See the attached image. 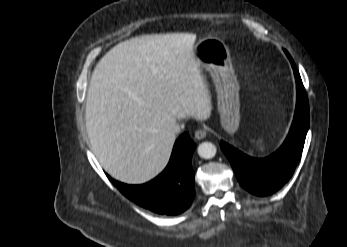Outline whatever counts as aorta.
I'll use <instances>...</instances> for the list:
<instances>
[{"instance_id":"1","label":"aorta","mask_w":347,"mask_h":247,"mask_svg":"<svg viewBox=\"0 0 347 247\" xmlns=\"http://www.w3.org/2000/svg\"><path fill=\"white\" fill-rule=\"evenodd\" d=\"M216 146L211 142H203L198 146V155L204 159H211L216 155Z\"/></svg>"}]
</instances>
